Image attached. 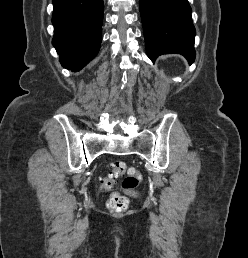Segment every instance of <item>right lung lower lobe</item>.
Returning a JSON list of instances; mask_svg holds the SVG:
<instances>
[{"label": "right lung lower lobe", "instance_id": "98d812e1", "mask_svg": "<svg viewBox=\"0 0 248 258\" xmlns=\"http://www.w3.org/2000/svg\"><path fill=\"white\" fill-rule=\"evenodd\" d=\"M52 44L61 65L81 70L98 53L101 45L103 0H53Z\"/></svg>", "mask_w": 248, "mask_h": 258}]
</instances>
